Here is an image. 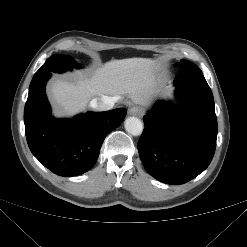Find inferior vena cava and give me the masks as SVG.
<instances>
[{"mask_svg":"<svg viewBox=\"0 0 247 247\" xmlns=\"http://www.w3.org/2000/svg\"><path fill=\"white\" fill-rule=\"evenodd\" d=\"M118 101L116 96H106L95 98L90 102V106L97 111H107L113 108L114 104Z\"/></svg>","mask_w":247,"mask_h":247,"instance_id":"inferior-vena-cava-1","label":"inferior vena cava"}]
</instances>
